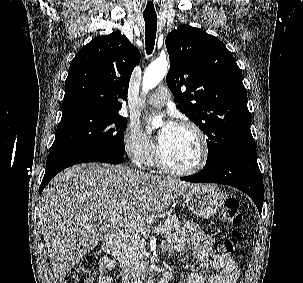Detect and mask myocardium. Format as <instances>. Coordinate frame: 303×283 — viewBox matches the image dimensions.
<instances>
[{"label":"myocardium","mask_w":303,"mask_h":283,"mask_svg":"<svg viewBox=\"0 0 303 283\" xmlns=\"http://www.w3.org/2000/svg\"><path fill=\"white\" fill-rule=\"evenodd\" d=\"M178 127L190 129L196 135L200 146V155L197 163L194 166L186 169L173 167L165 161L161 149L158 148L157 164L163 171L172 175H176V176L194 175L199 171H201L207 164L209 158L208 140L203 130L196 123L192 121H182L181 123H179Z\"/></svg>","instance_id":"f54148a6"}]
</instances>
